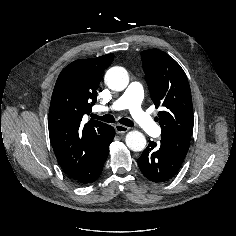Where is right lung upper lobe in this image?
Segmentation results:
<instances>
[{"label":"right lung upper lobe","instance_id":"obj_1","mask_svg":"<svg viewBox=\"0 0 236 236\" xmlns=\"http://www.w3.org/2000/svg\"><path fill=\"white\" fill-rule=\"evenodd\" d=\"M113 54L80 59L70 63L59 75L49 108V136L55 156L69 177L88 163L109 125L93 121L82 124L96 102V90Z\"/></svg>","mask_w":236,"mask_h":236}]
</instances>
